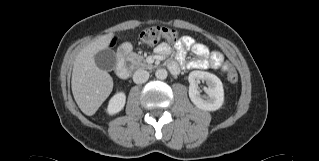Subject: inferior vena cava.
<instances>
[{"label": "inferior vena cava", "mask_w": 319, "mask_h": 161, "mask_svg": "<svg viewBox=\"0 0 319 161\" xmlns=\"http://www.w3.org/2000/svg\"><path fill=\"white\" fill-rule=\"evenodd\" d=\"M149 79V72L143 69H138L133 75V81L136 84L145 83Z\"/></svg>", "instance_id": "inferior-vena-cava-1"}]
</instances>
